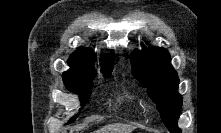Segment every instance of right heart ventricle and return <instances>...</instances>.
<instances>
[{"instance_id":"e07e8e85","label":"right heart ventricle","mask_w":221,"mask_h":133,"mask_svg":"<svg viewBox=\"0 0 221 133\" xmlns=\"http://www.w3.org/2000/svg\"><path fill=\"white\" fill-rule=\"evenodd\" d=\"M132 110H133L134 112H138V111H139V106H138V104L133 103V105H132Z\"/></svg>"}]
</instances>
